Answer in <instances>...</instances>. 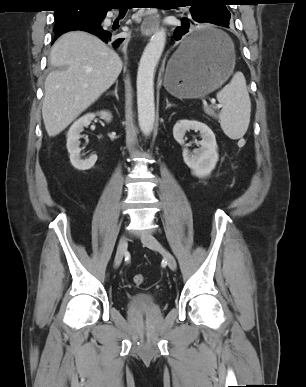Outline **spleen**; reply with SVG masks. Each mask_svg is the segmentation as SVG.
<instances>
[{
  "label": "spleen",
  "mask_w": 306,
  "mask_h": 387,
  "mask_svg": "<svg viewBox=\"0 0 306 387\" xmlns=\"http://www.w3.org/2000/svg\"><path fill=\"white\" fill-rule=\"evenodd\" d=\"M217 100L222 105L221 112L216 115L210 107H205V112L219 119L223 132L230 139L243 137L250 123L251 101L241 72H236L217 93Z\"/></svg>",
  "instance_id": "spleen-1"
}]
</instances>
